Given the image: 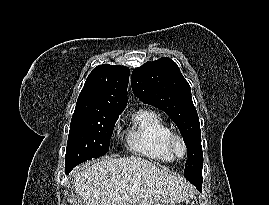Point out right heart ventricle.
Here are the masks:
<instances>
[{
	"label": "right heart ventricle",
	"instance_id": "obj_1",
	"mask_svg": "<svg viewBox=\"0 0 269 205\" xmlns=\"http://www.w3.org/2000/svg\"><path fill=\"white\" fill-rule=\"evenodd\" d=\"M171 127L157 112L141 109L132 118L126 135V145L135 155L144 159L170 163L174 156L166 146Z\"/></svg>",
	"mask_w": 269,
	"mask_h": 205
}]
</instances>
